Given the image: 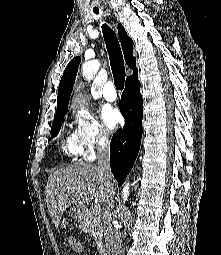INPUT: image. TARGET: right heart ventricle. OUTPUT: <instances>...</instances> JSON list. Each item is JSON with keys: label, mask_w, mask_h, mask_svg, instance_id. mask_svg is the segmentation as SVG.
<instances>
[{"label": "right heart ventricle", "mask_w": 221, "mask_h": 255, "mask_svg": "<svg viewBox=\"0 0 221 255\" xmlns=\"http://www.w3.org/2000/svg\"><path fill=\"white\" fill-rule=\"evenodd\" d=\"M62 151L67 156H81L83 154L82 147L80 146L74 134H68L62 141Z\"/></svg>", "instance_id": "obj_1"}]
</instances>
